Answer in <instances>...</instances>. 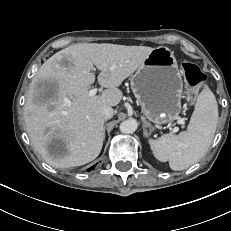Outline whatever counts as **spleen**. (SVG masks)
<instances>
[{
  "instance_id": "obj_1",
  "label": "spleen",
  "mask_w": 231,
  "mask_h": 231,
  "mask_svg": "<svg viewBox=\"0 0 231 231\" xmlns=\"http://www.w3.org/2000/svg\"><path fill=\"white\" fill-rule=\"evenodd\" d=\"M218 122V105L213 92L205 87L200 93L188 129L178 135L165 134L149 140L154 156L169 162L172 170L187 169L209 149Z\"/></svg>"
}]
</instances>
